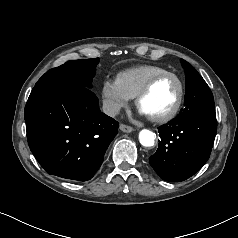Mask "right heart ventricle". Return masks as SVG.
<instances>
[{
  "mask_svg": "<svg viewBox=\"0 0 238 238\" xmlns=\"http://www.w3.org/2000/svg\"><path fill=\"white\" fill-rule=\"evenodd\" d=\"M165 71V68L156 65H140L121 71L116 80L125 94L134 98L152 76Z\"/></svg>",
  "mask_w": 238,
  "mask_h": 238,
  "instance_id": "e07e8e85",
  "label": "right heart ventricle"
}]
</instances>
